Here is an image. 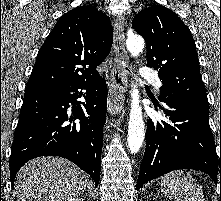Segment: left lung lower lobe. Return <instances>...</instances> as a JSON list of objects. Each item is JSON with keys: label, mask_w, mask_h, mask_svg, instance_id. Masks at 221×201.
Masks as SVG:
<instances>
[{"label": "left lung lower lobe", "mask_w": 221, "mask_h": 201, "mask_svg": "<svg viewBox=\"0 0 221 201\" xmlns=\"http://www.w3.org/2000/svg\"><path fill=\"white\" fill-rule=\"evenodd\" d=\"M167 121L149 120L136 189L177 169L200 170L221 183V156L209 126V104L191 98H161ZM157 107V105H155Z\"/></svg>", "instance_id": "obj_1"}]
</instances>
